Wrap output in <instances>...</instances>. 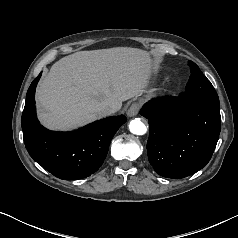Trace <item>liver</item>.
<instances>
[{"instance_id": "liver-1", "label": "liver", "mask_w": 238, "mask_h": 238, "mask_svg": "<svg viewBox=\"0 0 238 238\" xmlns=\"http://www.w3.org/2000/svg\"><path fill=\"white\" fill-rule=\"evenodd\" d=\"M149 53L130 47L79 51L54 63L36 91L40 122L70 130L102 116L98 108L121 109L122 102L147 92Z\"/></svg>"}]
</instances>
